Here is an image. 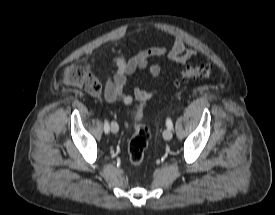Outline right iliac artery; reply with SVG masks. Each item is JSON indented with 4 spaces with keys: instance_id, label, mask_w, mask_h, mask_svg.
I'll list each match as a JSON object with an SVG mask.
<instances>
[{
    "instance_id": "right-iliac-artery-1",
    "label": "right iliac artery",
    "mask_w": 275,
    "mask_h": 215,
    "mask_svg": "<svg viewBox=\"0 0 275 215\" xmlns=\"http://www.w3.org/2000/svg\"><path fill=\"white\" fill-rule=\"evenodd\" d=\"M104 131L105 133H109L110 131L109 122L107 120L104 122Z\"/></svg>"
}]
</instances>
